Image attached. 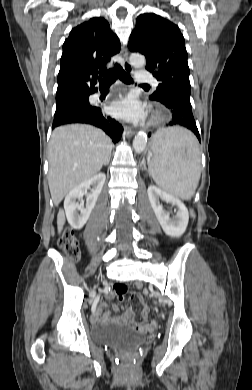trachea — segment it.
Instances as JSON below:
<instances>
[{
    "instance_id": "1",
    "label": "trachea",
    "mask_w": 252,
    "mask_h": 390,
    "mask_svg": "<svg viewBox=\"0 0 252 390\" xmlns=\"http://www.w3.org/2000/svg\"><path fill=\"white\" fill-rule=\"evenodd\" d=\"M118 77L122 82L126 84H131L133 82V79L130 77V75H128L120 65L116 64L115 67L105 75L104 79L99 82V87L100 88L110 87ZM142 86H149V85L143 84Z\"/></svg>"
}]
</instances>
